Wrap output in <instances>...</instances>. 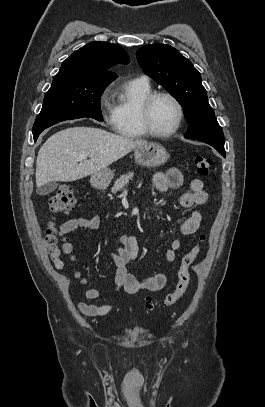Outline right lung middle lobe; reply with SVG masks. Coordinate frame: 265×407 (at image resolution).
I'll return each instance as SVG.
<instances>
[{"mask_svg": "<svg viewBox=\"0 0 265 407\" xmlns=\"http://www.w3.org/2000/svg\"><path fill=\"white\" fill-rule=\"evenodd\" d=\"M109 84L77 81L65 75L55 76L34 123V138L44 129L64 120L91 117L103 121L100 97Z\"/></svg>", "mask_w": 265, "mask_h": 407, "instance_id": "dd1d6c3e", "label": "right lung middle lobe"}]
</instances>
